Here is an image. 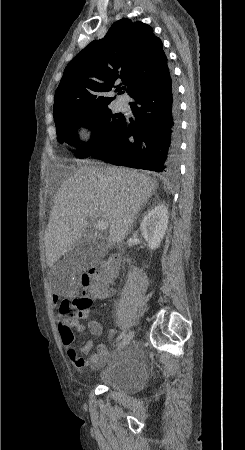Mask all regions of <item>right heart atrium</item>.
<instances>
[{
  "label": "right heart atrium",
  "instance_id": "right-heart-atrium-1",
  "mask_svg": "<svg viewBox=\"0 0 245 450\" xmlns=\"http://www.w3.org/2000/svg\"><path fill=\"white\" fill-rule=\"evenodd\" d=\"M80 132H81V134H82V135H84V134H85V132H84V130H83V129H81V130H80Z\"/></svg>",
  "mask_w": 245,
  "mask_h": 450
}]
</instances>
